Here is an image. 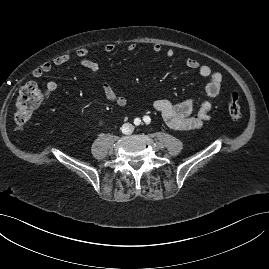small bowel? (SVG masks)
<instances>
[{
  "mask_svg": "<svg viewBox=\"0 0 269 269\" xmlns=\"http://www.w3.org/2000/svg\"><path fill=\"white\" fill-rule=\"evenodd\" d=\"M116 49L115 44L108 43L104 46L105 53H112ZM136 49L135 44L127 46L128 52H133ZM154 53L163 51V46L155 43L151 46ZM167 57L174 56V50L168 48L165 51ZM75 57L79 60L82 67L89 73L96 74L100 69V64L90 57V53L85 48H80L76 51ZM72 60L70 54H63L53 59L52 62H45L33 71V77L36 79L41 78L44 74L50 72L53 66H62ZM187 68L196 71L202 78L206 79L204 86L205 94L214 98L217 97L223 84V76L221 73L213 71L208 65L201 64L195 58H187L185 62ZM57 90V84L54 81L46 83L44 88V99H48ZM104 96L115 103L118 107L124 108L127 106V99L119 94L110 84L104 83L102 85ZM212 102L210 100L203 101L198 107L192 99L184 100L182 102L173 104L165 99L155 101L154 107L161 114L165 123L172 129L179 132H187L200 129L206 121L210 118L212 110Z\"/></svg>",
  "mask_w": 269,
  "mask_h": 269,
  "instance_id": "1",
  "label": "small bowel"
}]
</instances>
